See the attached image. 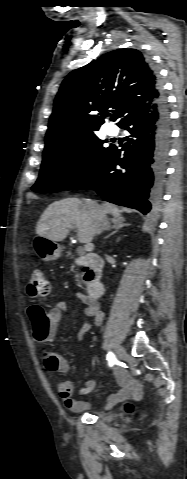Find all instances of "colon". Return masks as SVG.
I'll list each match as a JSON object with an SVG mask.
<instances>
[{
  "label": "colon",
  "instance_id": "colon-1",
  "mask_svg": "<svg viewBox=\"0 0 187 479\" xmlns=\"http://www.w3.org/2000/svg\"><path fill=\"white\" fill-rule=\"evenodd\" d=\"M48 291L49 283L44 272L41 269H34L27 282L28 295L33 298L41 297L47 295ZM126 410L130 411L131 406H126Z\"/></svg>",
  "mask_w": 187,
  "mask_h": 479
}]
</instances>
